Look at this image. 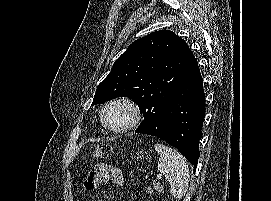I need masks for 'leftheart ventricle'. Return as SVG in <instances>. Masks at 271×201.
Listing matches in <instances>:
<instances>
[{
    "label": "left heart ventricle",
    "mask_w": 271,
    "mask_h": 201,
    "mask_svg": "<svg viewBox=\"0 0 271 201\" xmlns=\"http://www.w3.org/2000/svg\"><path fill=\"white\" fill-rule=\"evenodd\" d=\"M131 120V113L124 105H114L106 113L107 123L114 128H120L128 124Z\"/></svg>",
    "instance_id": "1"
}]
</instances>
